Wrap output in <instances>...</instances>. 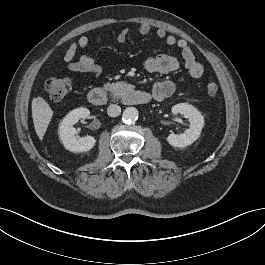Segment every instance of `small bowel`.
Listing matches in <instances>:
<instances>
[{
  "label": "small bowel",
  "instance_id": "obj_1",
  "mask_svg": "<svg viewBox=\"0 0 265 265\" xmlns=\"http://www.w3.org/2000/svg\"><path fill=\"white\" fill-rule=\"evenodd\" d=\"M151 32V27L147 23H142L138 28V33L142 36H147ZM129 29L123 28L117 35L116 40L123 43L129 36ZM158 39L163 40L169 46H176L181 51V58L188 75L192 79L202 77L204 73L203 65L196 60V57L184 39H178L173 35L167 34L163 29H158L156 32ZM89 39L87 36H80L76 41L72 42L64 53L63 59L68 70L78 73H88L98 76L101 73L100 65L90 56L82 54L79 60L74 61L78 51L87 48ZM143 67L151 73H171L179 69L180 61L178 58L161 54L156 57H147L143 60ZM176 90V86L172 81H161L154 84L151 94L156 101H163L170 97Z\"/></svg>",
  "mask_w": 265,
  "mask_h": 265
}]
</instances>
